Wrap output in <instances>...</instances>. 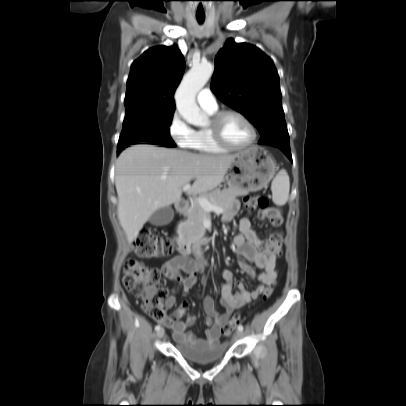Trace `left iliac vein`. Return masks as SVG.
<instances>
[{
	"label": "left iliac vein",
	"mask_w": 406,
	"mask_h": 406,
	"mask_svg": "<svg viewBox=\"0 0 406 406\" xmlns=\"http://www.w3.org/2000/svg\"><path fill=\"white\" fill-rule=\"evenodd\" d=\"M241 337H243V331L238 330V331L235 333V338H236V339H239V338H241Z\"/></svg>",
	"instance_id": "obj_1"
}]
</instances>
